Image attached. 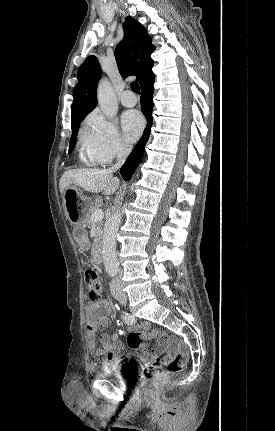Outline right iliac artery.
Wrapping results in <instances>:
<instances>
[{
	"instance_id": "right-iliac-artery-1",
	"label": "right iliac artery",
	"mask_w": 275,
	"mask_h": 431,
	"mask_svg": "<svg viewBox=\"0 0 275 431\" xmlns=\"http://www.w3.org/2000/svg\"><path fill=\"white\" fill-rule=\"evenodd\" d=\"M122 318L124 320V322L128 325H133L135 324V317L128 314V313H123Z\"/></svg>"
}]
</instances>
